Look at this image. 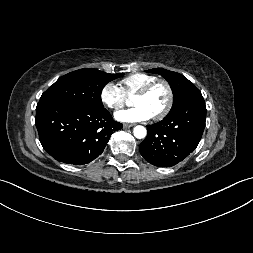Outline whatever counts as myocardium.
Instances as JSON below:
<instances>
[{
	"label": "myocardium",
	"instance_id": "myocardium-1",
	"mask_svg": "<svg viewBox=\"0 0 253 253\" xmlns=\"http://www.w3.org/2000/svg\"><path fill=\"white\" fill-rule=\"evenodd\" d=\"M159 84L163 85L166 88L167 94H168V100L165 107L159 113H157L156 115L152 117L154 120H161L165 118L173 107L174 91L171 84L165 79H155L135 93V95L146 96L153 90V88H155Z\"/></svg>",
	"mask_w": 253,
	"mask_h": 253
}]
</instances>
